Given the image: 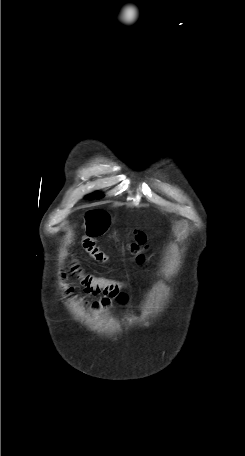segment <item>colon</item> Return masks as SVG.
I'll list each match as a JSON object with an SVG mask.
<instances>
[{
  "instance_id": "1",
  "label": "colon",
  "mask_w": 245,
  "mask_h": 456,
  "mask_svg": "<svg viewBox=\"0 0 245 456\" xmlns=\"http://www.w3.org/2000/svg\"><path fill=\"white\" fill-rule=\"evenodd\" d=\"M145 247V237L139 233L136 235L135 240L129 245V250L136 255L138 262H143V250Z\"/></svg>"
}]
</instances>
